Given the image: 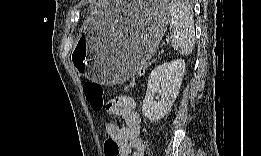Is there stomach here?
I'll list each match as a JSON object with an SVG mask.
<instances>
[{"label":"stomach","mask_w":261,"mask_h":156,"mask_svg":"<svg viewBox=\"0 0 261 156\" xmlns=\"http://www.w3.org/2000/svg\"><path fill=\"white\" fill-rule=\"evenodd\" d=\"M108 6L111 11L102 10ZM105 2L85 26L73 54L83 75L102 85L121 83L138 72L154 56L170 19L166 2ZM113 11L124 12L115 17Z\"/></svg>","instance_id":"0dacf381"}]
</instances>
